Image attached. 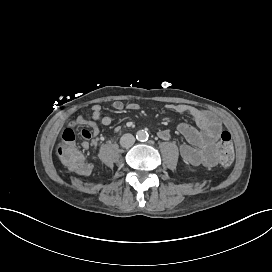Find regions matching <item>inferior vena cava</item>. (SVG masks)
<instances>
[{"label": "inferior vena cava", "instance_id": "inferior-vena-cava-1", "mask_svg": "<svg viewBox=\"0 0 272 272\" xmlns=\"http://www.w3.org/2000/svg\"><path fill=\"white\" fill-rule=\"evenodd\" d=\"M134 143H135V137L130 133L124 134L120 139L121 146L125 148H129L133 146Z\"/></svg>", "mask_w": 272, "mask_h": 272}]
</instances>
